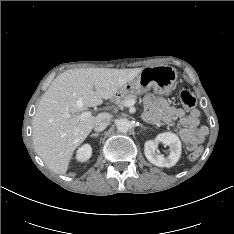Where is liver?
Returning a JSON list of instances; mask_svg holds the SVG:
<instances>
[{
  "label": "liver",
  "instance_id": "1",
  "mask_svg": "<svg viewBox=\"0 0 234 234\" xmlns=\"http://www.w3.org/2000/svg\"><path fill=\"white\" fill-rule=\"evenodd\" d=\"M141 71L142 68L71 69L54 79L32 122L34 148L51 171L67 172L74 150L94 126L96 117L81 120L80 112L114 97Z\"/></svg>",
  "mask_w": 234,
  "mask_h": 234
}]
</instances>
